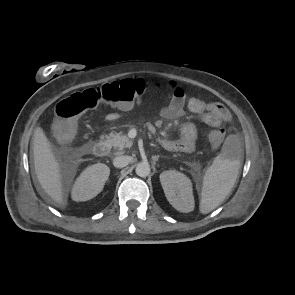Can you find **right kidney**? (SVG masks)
Segmentation results:
<instances>
[{"label": "right kidney", "instance_id": "right-kidney-1", "mask_svg": "<svg viewBox=\"0 0 295 295\" xmlns=\"http://www.w3.org/2000/svg\"><path fill=\"white\" fill-rule=\"evenodd\" d=\"M109 174V167L102 163L87 167L75 181L72 199L87 201L97 196L102 191Z\"/></svg>", "mask_w": 295, "mask_h": 295}]
</instances>
